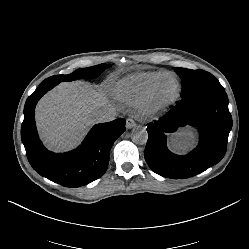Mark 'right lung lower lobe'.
Wrapping results in <instances>:
<instances>
[{
    "mask_svg": "<svg viewBox=\"0 0 249 249\" xmlns=\"http://www.w3.org/2000/svg\"><path fill=\"white\" fill-rule=\"evenodd\" d=\"M57 84L44 83L27 98L21 139L31 166L42 176L66 187H79L100 178L107 170L114 141L125 131L124 119L95 125L73 151L53 153L39 140L34 110L38 100Z\"/></svg>",
    "mask_w": 249,
    "mask_h": 249,
    "instance_id": "98d812e1",
    "label": "right lung lower lobe"
}]
</instances>
